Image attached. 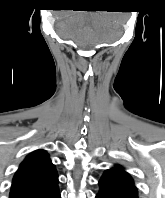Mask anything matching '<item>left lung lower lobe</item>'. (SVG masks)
Here are the masks:
<instances>
[{"label":"left lung lower lobe","mask_w":165,"mask_h":198,"mask_svg":"<svg viewBox=\"0 0 165 198\" xmlns=\"http://www.w3.org/2000/svg\"><path fill=\"white\" fill-rule=\"evenodd\" d=\"M99 186L96 198H138L136 186L110 170L104 172Z\"/></svg>","instance_id":"obj_1"}]
</instances>
